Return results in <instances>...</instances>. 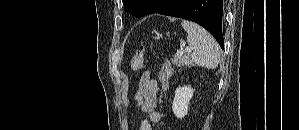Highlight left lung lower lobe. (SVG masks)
Masks as SVG:
<instances>
[{
	"label": "left lung lower lobe",
	"instance_id": "1",
	"mask_svg": "<svg viewBox=\"0 0 299 130\" xmlns=\"http://www.w3.org/2000/svg\"><path fill=\"white\" fill-rule=\"evenodd\" d=\"M152 12L196 22L207 29L224 48L223 0H154L144 15Z\"/></svg>",
	"mask_w": 299,
	"mask_h": 130
}]
</instances>
